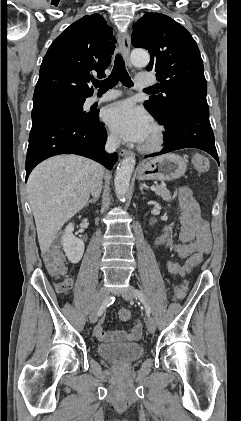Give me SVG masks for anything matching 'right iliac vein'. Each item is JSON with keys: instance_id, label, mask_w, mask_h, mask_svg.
I'll return each instance as SVG.
<instances>
[{"instance_id": "63e3f726", "label": "right iliac vein", "mask_w": 241, "mask_h": 421, "mask_svg": "<svg viewBox=\"0 0 241 421\" xmlns=\"http://www.w3.org/2000/svg\"><path fill=\"white\" fill-rule=\"evenodd\" d=\"M108 295H109L108 289H106V288L100 289V291L97 295L95 304H94V306L91 310V313H90L91 323H95L97 321L99 309H100L102 303L108 298Z\"/></svg>"}]
</instances>
